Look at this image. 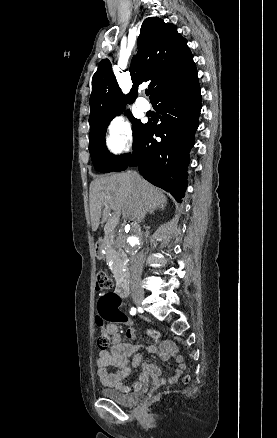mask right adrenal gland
Wrapping results in <instances>:
<instances>
[{
    "instance_id": "right-adrenal-gland-1",
    "label": "right adrenal gland",
    "mask_w": 277,
    "mask_h": 438,
    "mask_svg": "<svg viewBox=\"0 0 277 438\" xmlns=\"http://www.w3.org/2000/svg\"><path fill=\"white\" fill-rule=\"evenodd\" d=\"M160 210H164V206H161ZM160 210H159V212H160ZM146 214H147V212H145V214H142V220H144Z\"/></svg>"
}]
</instances>
